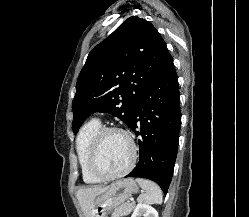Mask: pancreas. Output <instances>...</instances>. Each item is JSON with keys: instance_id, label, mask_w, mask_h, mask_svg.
<instances>
[{"instance_id": "1", "label": "pancreas", "mask_w": 249, "mask_h": 217, "mask_svg": "<svg viewBox=\"0 0 249 217\" xmlns=\"http://www.w3.org/2000/svg\"><path fill=\"white\" fill-rule=\"evenodd\" d=\"M135 208V203H124L119 207L115 208L114 212L112 213V217H122L129 215L132 210Z\"/></svg>"}]
</instances>
